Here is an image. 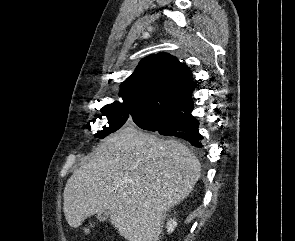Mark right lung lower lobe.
<instances>
[{
  "label": "right lung lower lobe",
  "instance_id": "1",
  "mask_svg": "<svg viewBox=\"0 0 295 241\" xmlns=\"http://www.w3.org/2000/svg\"><path fill=\"white\" fill-rule=\"evenodd\" d=\"M193 108V102L189 103L142 129L156 131L165 136L179 137L189 141L195 147H201L200 140L203 137L198 132L199 122L191 114Z\"/></svg>",
  "mask_w": 295,
  "mask_h": 241
}]
</instances>
